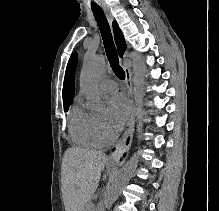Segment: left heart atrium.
<instances>
[{
    "label": "left heart atrium",
    "mask_w": 219,
    "mask_h": 211,
    "mask_svg": "<svg viewBox=\"0 0 219 211\" xmlns=\"http://www.w3.org/2000/svg\"><path fill=\"white\" fill-rule=\"evenodd\" d=\"M109 116L113 126L120 128L127 121L130 113L129 105L126 99L121 95L113 96L109 103Z\"/></svg>",
    "instance_id": "1"
}]
</instances>
